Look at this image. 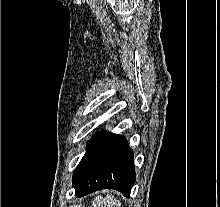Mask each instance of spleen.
Listing matches in <instances>:
<instances>
[{
    "mask_svg": "<svg viewBox=\"0 0 220 207\" xmlns=\"http://www.w3.org/2000/svg\"><path fill=\"white\" fill-rule=\"evenodd\" d=\"M121 202L117 200L112 194L107 193L106 197L96 195L92 202V207H120Z\"/></svg>",
    "mask_w": 220,
    "mask_h": 207,
    "instance_id": "spleen-1",
    "label": "spleen"
}]
</instances>
